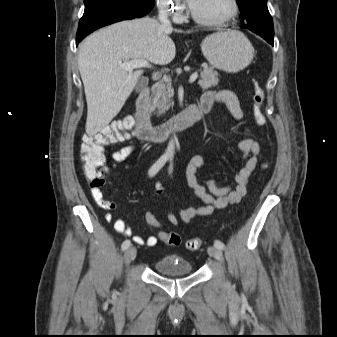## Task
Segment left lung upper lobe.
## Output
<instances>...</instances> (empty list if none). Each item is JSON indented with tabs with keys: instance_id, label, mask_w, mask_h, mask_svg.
Masks as SVG:
<instances>
[{
	"instance_id": "left-lung-upper-lobe-1",
	"label": "left lung upper lobe",
	"mask_w": 337,
	"mask_h": 337,
	"mask_svg": "<svg viewBox=\"0 0 337 337\" xmlns=\"http://www.w3.org/2000/svg\"><path fill=\"white\" fill-rule=\"evenodd\" d=\"M241 11L242 24H256L273 27L272 17L267 8V0H237Z\"/></svg>"
}]
</instances>
